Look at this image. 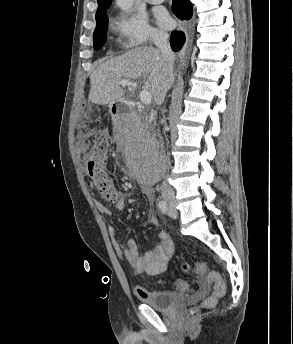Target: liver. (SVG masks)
Returning <instances> with one entry per match:
<instances>
[{
	"instance_id": "obj_1",
	"label": "liver",
	"mask_w": 293,
	"mask_h": 344,
	"mask_svg": "<svg viewBox=\"0 0 293 344\" xmlns=\"http://www.w3.org/2000/svg\"><path fill=\"white\" fill-rule=\"evenodd\" d=\"M142 79L144 90L160 104L168 89L174 84V71L168 75L159 49L137 47L97 67L90 75L89 101L99 104H113L124 99L126 91L119 81Z\"/></svg>"
}]
</instances>
